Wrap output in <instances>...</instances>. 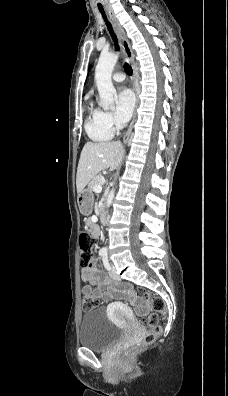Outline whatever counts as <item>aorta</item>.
<instances>
[{
  "instance_id": "obj_1",
  "label": "aorta",
  "mask_w": 228,
  "mask_h": 396,
  "mask_svg": "<svg viewBox=\"0 0 228 396\" xmlns=\"http://www.w3.org/2000/svg\"><path fill=\"white\" fill-rule=\"evenodd\" d=\"M118 61L117 54H102L99 57L98 64L95 69V82L100 96V106L104 109L114 106L116 90L112 83V72ZM115 190L111 189L106 200V207H110L114 198Z\"/></svg>"
}]
</instances>
